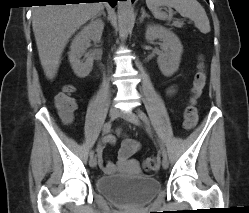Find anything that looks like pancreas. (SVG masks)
<instances>
[{"mask_svg": "<svg viewBox=\"0 0 249 213\" xmlns=\"http://www.w3.org/2000/svg\"><path fill=\"white\" fill-rule=\"evenodd\" d=\"M173 26L177 27V28H181L183 27V22H180V21H174L172 23Z\"/></svg>", "mask_w": 249, "mask_h": 213, "instance_id": "obj_1", "label": "pancreas"}]
</instances>
